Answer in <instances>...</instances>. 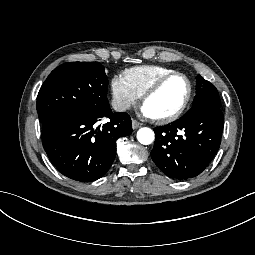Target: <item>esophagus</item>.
Returning a JSON list of instances; mask_svg holds the SVG:
<instances>
[{
  "instance_id": "obj_1",
  "label": "esophagus",
  "mask_w": 255,
  "mask_h": 255,
  "mask_svg": "<svg viewBox=\"0 0 255 255\" xmlns=\"http://www.w3.org/2000/svg\"><path fill=\"white\" fill-rule=\"evenodd\" d=\"M140 125H141L140 122H138L136 119H132V128H133V129L139 128Z\"/></svg>"
}]
</instances>
